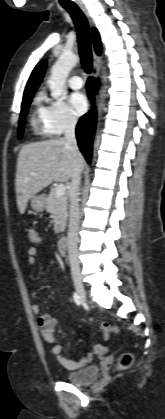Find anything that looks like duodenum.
<instances>
[{"mask_svg":"<svg viewBox=\"0 0 165 419\" xmlns=\"http://www.w3.org/2000/svg\"><path fill=\"white\" fill-rule=\"evenodd\" d=\"M66 242H67V239L65 236L60 237L58 240L57 248L60 255L66 254Z\"/></svg>","mask_w":165,"mask_h":419,"instance_id":"410a0bca","label":"duodenum"}]
</instances>
